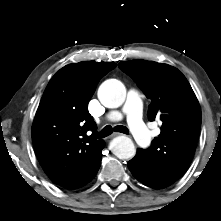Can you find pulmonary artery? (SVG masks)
Here are the masks:
<instances>
[{
	"label": "pulmonary artery",
	"mask_w": 221,
	"mask_h": 221,
	"mask_svg": "<svg viewBox=\"0 0 221 221\" xmlns=\"http://www.w3.org/2000/svg\"><path fill=\"white\" fill-rule=\"evenodd\" d=\"M141 111L142 100L140 93L133 89L129 90L123 107V113L127 116L133 138L141 147L147 148L151 143V133L143 123ZM121 117L122 113L118 111H112L106 116L110 121H118Z\"/></svg>",
	"instance_id": "e3ab8cb5"
}]
</instances>
